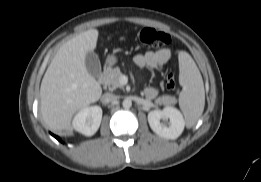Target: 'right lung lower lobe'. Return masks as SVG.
Returning a JSON list of instances; mask_svg holds the SVG:
<instances>
[{
	"label": "right lung lower lobe",
	"mask_w": 261,
	"mask_h": 182,
	"mask_svg": "<svg viewBox=\"0 0 261 182\" xmlns=\"http://www.w3.org/2000/svg\"><path fill=\"white\" fill-rule=\"evenodd\" d=\"M53 135V134H52ZM57 140L61 141L60 138L56 135H53Z\"/></svg>",
	"instance_id": "obj_1"
}]
</instances>
